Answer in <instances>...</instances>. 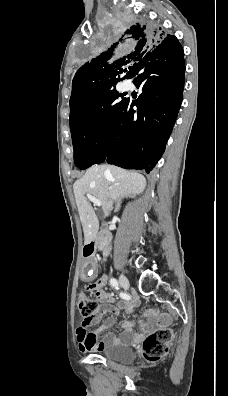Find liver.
I'll return each mask as SVG.
<instances>
[{"label":"liver","instance_id":"6515ba94","mask_svg":"<svg viewBox=\"0 0 228 396\" xmlns=\"http://www.w3.org/2000/svg\"><path fill=\"white\" fill-rule=\"evenodd\" d=\"M146 179L143 175L110 165H94L73 185L75 200L83 227L85 244L90 243L99 229L94 209L85 194L101 201L105 216H108L109 201L143 192Z\"/></svg>","mask_w":228,"mask_h":396}]
</instances>
